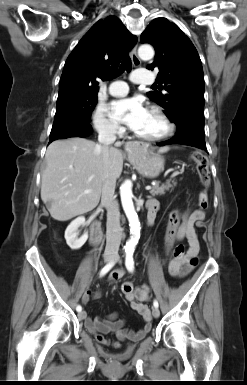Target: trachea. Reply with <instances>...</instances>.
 I'll return each mask as SVG.
<instances>
[{
    "label": "trachea",
    "instance_id": "trachea-1",
    "mask_svg": "<svg viewBox=\"0 0 247 385\" xmlns=\"http://www.w3.org/2000/svg\"><path fill=\"white\" fill-rule=\"evenodd\" d=\"M132 69V63H131V59L129 58L128 55H125L122 62H121V65H120V68H119V71L122 73L124 72L125 70L127 72H130Z\"/></svg>",
    "mask_w": 247,
    "mask_h": 385
}]
</instances>
